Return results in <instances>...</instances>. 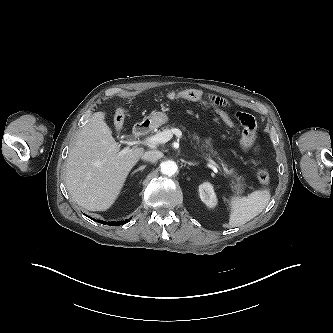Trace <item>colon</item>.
Masks as SVG:
<instances>
[{
	"instance_id": "5ec220e1",
	"label": "colon",
	"mask_w": 333,
	"mask_h": 333,
	"mask_svg": "<svg viewBox=\"0 0 333 333\" xmlns=\"http://www.w3.org/2000/svg\"><path fill=\"white\" fill-rule=\"evenodd\" d=\"M165 96L171 100L185 99L199 101L203 99L202 94L196 89H185L180 91H169L165 93ZM219 117L230 127L235 128V123L230 119L228 114L221 110L215 109ZM127 110L125 108H120L115 113L114 124L117 130H121L124 120L126 118ZM257 179L261 184H268L270 181V174L266 169H259L257 171Z\"/></svg>"
}]
</instances>
